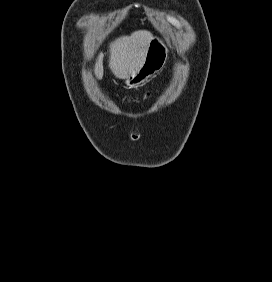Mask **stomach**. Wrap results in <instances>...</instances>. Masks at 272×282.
<instances>
[{
  "mask_svg": "<svg viewBox=\"0 0 272 282\" xmlns=\"http://www.w3.org/2000/svg\"><path fill=\"white\" fill-rule=\"evenodd\" d=\"M168 46L159 37H152L142 67L126 79L129 88H136L159 73L168 59Z\"/></svg>",
  "mask_w": 272,
  "mask_h": 282,
  "instance_id": "obj_1",
  "label": "stomach"
}]
</instances>
